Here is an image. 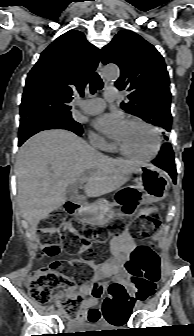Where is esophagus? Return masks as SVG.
I'll return each mask as SVG.
<instances>
[{"instance_id": "obj_1", "label": "esophagus", "mask_w": 194, "mask_h": 336, "mask_svg": "<svg viewBox=\"0 0 194 336\" xmlns=\"http://www.w3.org/2000/svg\"><path fill=\"white\" fill-rule=\"evenodd\" d=\"M97 72L99 73V75L102 76V63H101V61H100L99 64H98Z\"/></svg>"}]
</instances>
